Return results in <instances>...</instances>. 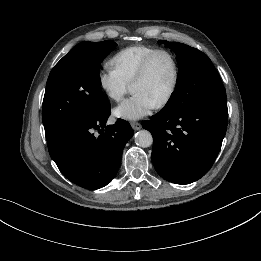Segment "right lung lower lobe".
<instances>
[{"label":"right lung lower lobe","instance_id":"right-lung-lower-lobe-1","mask_svg":"<svg viewBox=\"0 0 261 261\" xmlns=\"http://www.w3.org/2000/svg\"><path fill=\"white\" fill-rule=\"evenodd\" d=\"M109 115L110 108L100 117L68 126L47 139L50 156L60 171L83 188L99 189L115 177L123 148L133 136L130 124L122 119L105 127ZM95 130L99 136L94 135Z\"/></svg>","mask_w":261,"mask_h":261}]
</instances>
